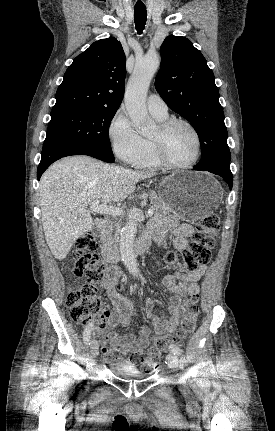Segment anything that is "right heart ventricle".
I'll return each mask as SVG.
<instances>
[{"mask_svg": "<svg viewBox=\"0 0 275 431\" xmlns=\"http://www.w3.org/2000/svg\"><path fill=\"white\" fill-rule=\"evenodd\" d=\"M152 115L160 123L168 118L167 115H155V114H152ZM144 142H145L144 153L135 162L134 165L138 168L149 169V170H156V169L161 168L162 166L157 161V159L154 155L153 145H152L151 139H144Z\"/></svg>", "mask_w": 275, "mask_h": 431, "instance_id": "right-heart-ventricle-1", "label": "right heart ventricle"}]
</instances>
